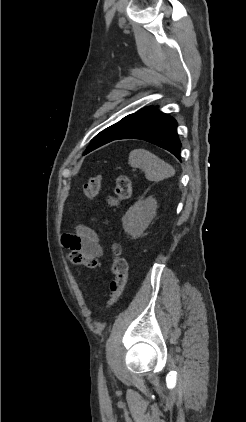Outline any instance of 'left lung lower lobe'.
I'll return each mask as SVG.
<instances>
[{
	"instance_id": "left-lung-lower-lobe-1",
	"label": "left lung lower lobe",
	"mask_w": 246,
	"mask_h": 422,
	"mask_svg": "<svg viewBox=\"0 0 246 422\" xmlns=\"http://www.w3.org/2000/svg\"><path fill=\"white\" fill-rule=\"evenodd\" d=\"M120 139L145 140L171 152L181 160V143L177 135V122L170 115L159 111L157 107H153L114 140Z\"/></svg>"
}]
</instances>
